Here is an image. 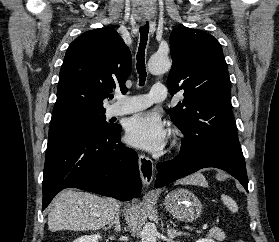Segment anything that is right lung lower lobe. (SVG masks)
<instances>
[{
	"label": "right lung lower lobe",
	"mask_w": 279,
	"mask_h": 242,
	"mask_svg": "<svg viewBox=\"0 0 279 242\" xmlns=\"http://www.w3.org/2000/svg\"><path fill=\"white\" fill-rule=\"evenodd\" d=\"M121 127L96 137L49 146L43 174L44 210L61 190L74 187L126 201L141 194L138 155L120 142Z\"/></svg>",
	"instance_id": "right-lung-lower-lobe-1"
}]
</instances>
